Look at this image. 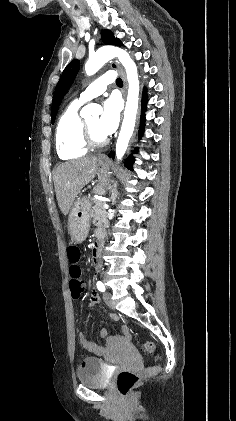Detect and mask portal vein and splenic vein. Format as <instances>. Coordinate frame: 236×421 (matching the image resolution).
Instances as JSON below:
<instances>
[{"mask_svg":"<svg viewBox=\"0 0 236 421\" xmlns=\"http://www.w3.org/2000/svg\"><path fill=\"white\" fill-rule=\"evenodd\" d=\"M104 206H105V208H108V204H106V202H104Z\"/></svg>","mask_w":236,"mask_h":421,"instance_id":"portal-vein-and-splenic-vein-1","label":"portal vein and splenic vein"}]
</instances>
